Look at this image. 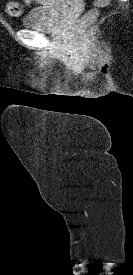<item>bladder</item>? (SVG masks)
<instances>
[{
    "instance_id": "bladder-1",
    "label": "bladder",
    "mask_w": 133,
    "mask_h": 275,
    "mask_svg": "<svg viewBox=\"0 0 133 275\" xmlns=\"http://www.w3.org/2000/svg\"><path fill=\"white\" fill-rule=\"evenodd\" d=\"M62 2L64 0H51L49 5L33 7L23 18L22 26L39 32L57 31L63 19Z\"/></svg>"
}]
</instances>
